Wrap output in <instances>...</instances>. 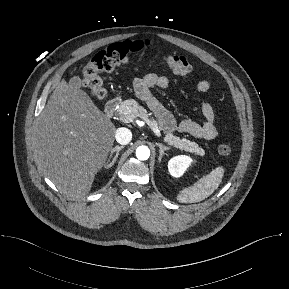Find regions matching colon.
<instances>
[{"instance_id":"colon-1","label":"colon","mask_w":289,"mask_h":289,"mask_svg":"<svg viewBox=\"0 0 289 289\" xmlns=\"http://www.w3.org/2000/svg\"><path fill=\"white\" fill-rule=\"evenodd\" d=\"M149 48L150 44L147 41L126 40L114 43L97 52L82 68L83 85L89 89L95 98H104L105 89L101 74L111 72L116 67L126 64L133 55L139 54ZM162 63L173 73L181 76L188 75L192 70L189 60L182 55L163 54ZM216 151L220 155H229L232 152V148L229 144L221 143L217 145Z\"/></svg>"}]
</instances>
